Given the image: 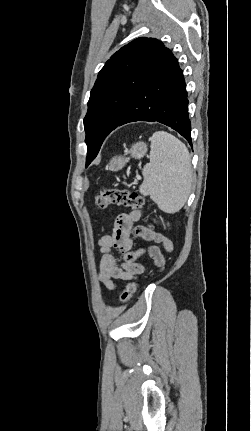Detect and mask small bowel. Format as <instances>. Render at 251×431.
<instances>
[{
    "label": "small bowel",
    "instance_id": "c3829d8e",
    "mask_svg": "<svg viewBox=\"0 0 251 431\" xmlns=\"http://www.w3.org/2000/svg\"><path fill=\"white\" fill-rule=\"evenodd\" d=\"M140 218L139 211L119 214L115 220L113 232L102 236L99 240V251L102 257L98 278L107 289H116L114 279L130 280L143 273L144 266L138 262V259L145 253L152 258L157 267L163 268L165 265V258L156 245L133 250L132 236L160 243L166 251L173 249L171 240L161 233L142 225H135ZM115 252H118V255Z\"/></svg>",
    "mask_w": 251,
    "mask_h": 431
}]
</instances>
